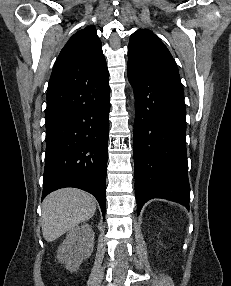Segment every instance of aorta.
Wrapping results in <instances>:
<instances>
[{
  "label": "aorta",
  "mask_w": 231,
  "mask_h": 286,
  "mask_svg": "<svg viewBox=\"0 0 231 286\" xmlns=\"http://www.w3.org/2000/svg\"><path fill=\"white\" fill-rule=\"evenodd\" d=\"M131 99H132V101H134V97H133V95L131 96Z\"/></svg>",
  "instance_id": "obj_1"
}]
</instances>
